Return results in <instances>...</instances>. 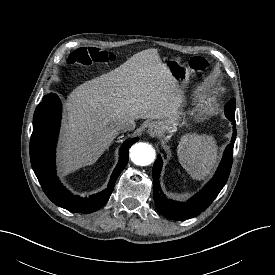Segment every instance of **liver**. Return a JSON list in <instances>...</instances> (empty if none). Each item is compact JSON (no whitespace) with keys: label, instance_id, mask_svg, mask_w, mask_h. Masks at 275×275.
<instances>
[{"label":"liver","instance_id":"1","mask_svg":"<svg viewBox=\"0 0 275 275\" xmlns=\"http://www.w3.org/2000/svg\"><path fill=\"white\" fill-rule=\"evenodd\" d=\"M181 91L157 49L133 55L115 70L87 81L68 96L59 160L95 162L119 134L120 119H164L175 114Z\"/></svg>","mask_w":275,"mask_h":275}]
</instances>
